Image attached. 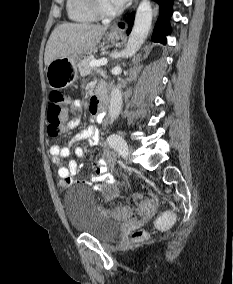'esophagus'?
Here are the masks:
<instances>
[{"label": "esophagus", "instance_id": "esophagus-1", "mask_svg": "<svg viewBox=\"0 0 233 284\" xmlns=\"http://www.w3.org/2000/svg\"><path fill=\"white\" fill-rule=\"evenodd\" d=\"M127 29V24L125 21L121 20L118 21L114 26H113V31L118 32V33H123Z\"/></svg>", "mask_w": 233, "mask_h": 284}]
</instances>
